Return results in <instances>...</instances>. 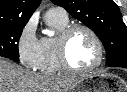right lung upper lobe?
I'll return each mask as SVG.
<instances>
[{"instance_id": "cb5924a9", "label": "right lung upper lobe", "mask_w": 127, "mask_h": 92, "mask_svg": "<svg viewBox=\"0 0 127 92\" xmlns=\"http://www.w3.org/2000/svg\"><path fill=\"white\" fill-rule=\"evenodd\" d=\"M41 0H0V27L25 26Z\"/></svg>"}]
</instances>
